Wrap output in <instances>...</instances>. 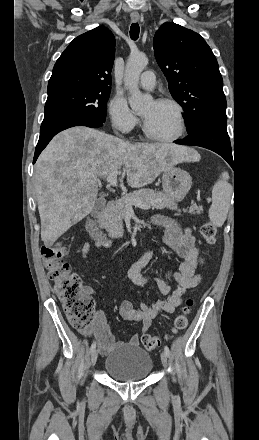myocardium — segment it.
I'll use <instances>...</instances> for the list:
<instances>
[{"label":"myocardium","instance_id":"obj_1","mask_svg":"<svg viewBox=\"0 0 259 440\" xmlns=\"http://www.w3.org/2000/svg\"><path fill=\"white\" fill-rule=\"evenodd\" d=\"M156 103L171 105L175 108L176 114H177V122H178L177 132L170 137H160V136L154 135L148 129L145 121L143 120L142 130H143L144 135L149 140L159 142V143H172V142L177 141L178 139H180L182 137V135L185 132V128H186L184 109H183L182 105L178 101L171 99V98H160L156 101Z\"/></svg>","mask_w":259,"mask_h":440}]
</instances>
